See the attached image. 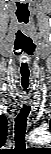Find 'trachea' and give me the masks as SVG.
<instances>
[{"label":"trachea","mask_w":51,"mask_h":154,"mask_svg":"<svg viewBox=\"0 0 51 154\" xmlns=\"http://www.w3.org/2000/svg\"><path fill=\"white\" fill-rule=\"evenodd\" d=\"M29 111L25 109H21L19 115L15 119V139L22 143L25 131H26V122L28 117Z\"/></svg>","instance_id":"trachea-1"}]
</instances>
